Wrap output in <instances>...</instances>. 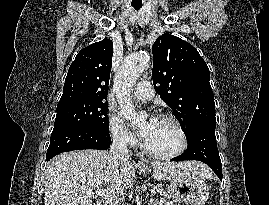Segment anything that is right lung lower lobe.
Returning a JSON list of instances; mask_svg holds the SVG:
<instances>
[{"label":"right lung lower lobe","mask_w":269,"mask_h":205,"mask_svg":"<svg viewBox=\"0 0 269 205\" xmlns=\"http://www.w3.org/2000/svg\"><path fill=\"white\" fill-rule=\"evenodd\" d=\"M110 141L109 133L98 129L77 125L55 127L51 134L46 159L50 160L55 155L72 150H105L110 147Z\"/></svg>","instance_id":"right-lung-lower-lobe-1"}]
</instances>
